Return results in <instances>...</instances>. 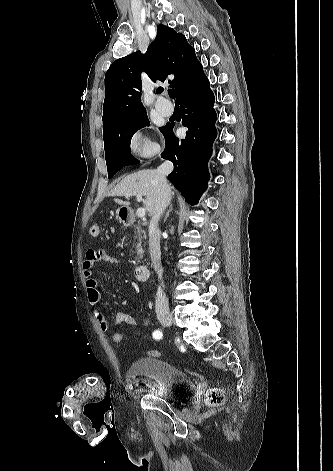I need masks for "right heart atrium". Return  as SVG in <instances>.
<instances>
[{"label":"right heart atrium","mask_w":333,"mask_h":471,"mask_svg":"<svg viewBox=\"0 0 333 471\" xmlns=\"http://www.w3.org/2000/svg\"><path fill=\"white\" fill-rule=\"evenodd\" d=\"M128 145L132 153L141 156H152L158 151V146L140 131L131 134Z\"/></svg>","instance_id":"1"}]
</instances>
